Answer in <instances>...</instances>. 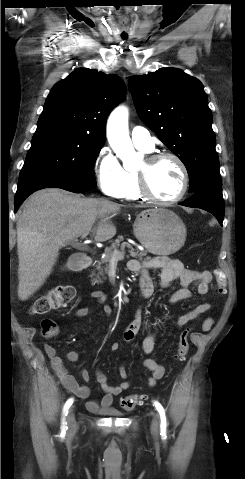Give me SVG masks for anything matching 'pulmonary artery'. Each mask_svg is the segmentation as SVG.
Segmentation results:
<instances>
[{
  "instance_id": "pulmonary-artery-1",
  "label": "pulmonary artery",
  "mask_w": 245,
  "mask_h": 479,
  "mask_svg": "<svg viewBox=\"0 0 245 479\" xmlns=\"http://www.w3.org/2000/svg\"><path fill=\"white\" fill-rule=\"evenodd\" d=\"M131 139L134 145L144 151H151L153 142L149 131L143 127H134L131 131Z\"/></svg>"
}]
</instances>
